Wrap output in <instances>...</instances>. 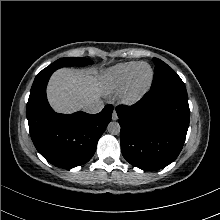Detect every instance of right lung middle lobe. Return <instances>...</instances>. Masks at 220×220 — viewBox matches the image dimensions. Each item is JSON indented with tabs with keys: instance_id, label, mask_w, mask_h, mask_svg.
<instances>
[{
	"instance_id": "1",
	"label": "right lung middle lobe",
	"mask_w": 220,
	"mask_h": 220,
	"mask_svg": "<svg viewBox=\"0 0 220 220\" xmlns=\"http://www.w3.org/2000/svg\"><path fill=\"white\" fill-rule=\"evenodd\" d=\"M92 60L81 57L74 58H61L53 62L51 65L43 69L38 75L46 73L48 71H55L61 67L65 66H85L91 64Z\"/></svg>"
}]
</instances>
